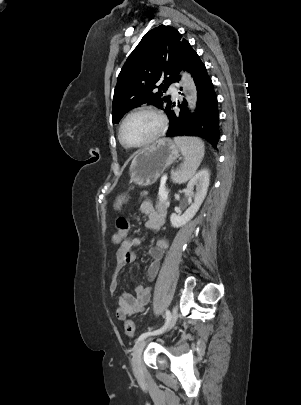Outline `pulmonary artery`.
<instances>
[{"label":"pulmonary artery","mask_w":301,"mask_h":405,"mask_svg":"<svg viewBox=\"0 0 301 405\" xmlns=\"http://www.w3.org/2000/svg\"><path fill=\"white\" fill-rule=\"evenodd\" d=\"M169 91H170L174 96H177V90H176V88H175L174 86H171V87L169 88Z\"/></svg>","instance_id":"pulmonary-artery-1"}]
</instances>
